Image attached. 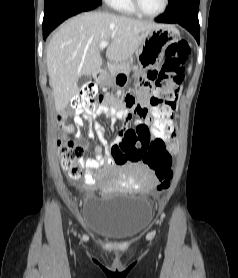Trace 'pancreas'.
Listing matches in <instances>:
<instances>
[{"instance_id": "1", "label": "pancreas", "mask_w": 238, "mask_h": 278, "mask_svg": "<svg viewBox=\"0 0 238 278\" xmlns=\"http://www.w3.org/2000/svg\"><path fill=\"white\" fill-rule=\"evenodd\" d=\"M109 70L111 75L115 76L117 73L128 74L130 71V67H129V63L124 61V62L115 63L111 65Z\"/></svg>"}]
</instances>
